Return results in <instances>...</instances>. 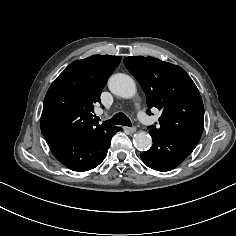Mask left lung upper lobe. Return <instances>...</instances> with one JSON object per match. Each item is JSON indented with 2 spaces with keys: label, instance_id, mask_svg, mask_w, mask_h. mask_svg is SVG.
Returning a JSON list of instances; mask_svg holds the SVG:
<instances>
[{
  "label": "left lung upper lobe",
  "instance_id": "obj_1",
  "mask_svg": "<svg viewBox=\"0 0 236 236\" xmlns=\"http://www.w3.org/2000/svg\"><path fill=\"white\" fill-rule=\"evenodd\" d=\"M124 64L146 94L148 108L162 110L160 127L150 126V131L202 134L203 102L196 85L181 67L142 56L127 57Z\"/></svg>",
  "mask_w": 236,
  "mask_h": 236
}]
</instances>
